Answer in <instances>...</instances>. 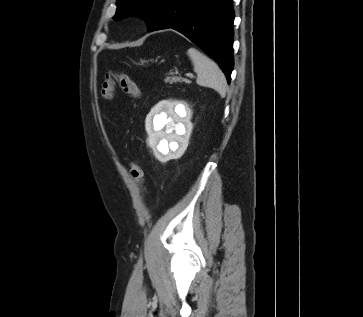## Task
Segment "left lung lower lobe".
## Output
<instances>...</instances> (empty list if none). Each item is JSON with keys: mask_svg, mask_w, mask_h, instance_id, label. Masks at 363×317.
<instances>
[{"mask_svg": "<svg viewBox=\"0 0 363 317\" xmlns=\"http://www.w3.org/2000/svg\"><path fill=\"white\" fill-rule=\"evenodd\" d=\"M232 0H164L148 31L174 29L205 50L228 83L234 67Z\"/></svg>", "mask_w": 363, "mask_h": 317, "instance_id": "obj_1", "label": "left lung lower lobe"}]
</instances>
